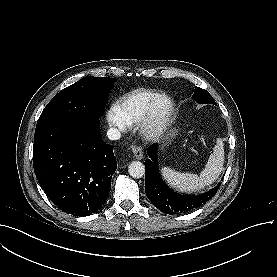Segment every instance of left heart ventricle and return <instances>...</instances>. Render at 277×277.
Here are the masks:
<instances>
[{
  "label": "left heart ventricle",
  "mask_w": 277,
  "mask_h": 277,
  "mask_svg": "<svg viewBox=\"0 0 277 277\" xmlns=\"http://www.w3.org/2000/svg\"><path fill=\"white\" fill-rule=\"evenodd\" d=\"M165 106H166L165 102H161V103H160V108H161V109L165 108Z\"/></svg>",
  "instance_id": "b2bd125f"
}]
</instances>
